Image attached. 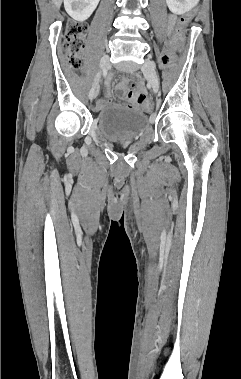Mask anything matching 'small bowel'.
I'll return each mask as SVG.
<instances>
[{"label":"small bowel","mask_w":241,"mask_h":379,"mask_svg":"<svg viewBox=\"0 0 241 379\" xmlns=\"http://www.w3.org/2000/svg\"><path fill=\"white\" fill-rule=\"evenodd\" d=\"M174 19H170V24L173 25ZM136 89L138 87V83L134 80H121L118 85L117 89L121 93L122 98L128 102L130 105H137L143 108L142 99L145 98V91L143 88H139L137 90H130L128 89ZM108 91H105V94H107ZM105 106V101L103 99L97 100L95 104V110L99 111L103 109Z\"/></svg>","instance_id":"obj_1"}]
</instances>
